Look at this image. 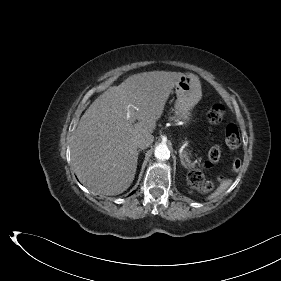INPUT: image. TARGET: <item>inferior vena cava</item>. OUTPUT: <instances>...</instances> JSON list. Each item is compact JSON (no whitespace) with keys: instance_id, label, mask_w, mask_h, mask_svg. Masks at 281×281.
<instances>
[{"instance_id":"inferior-vena-cava-1","label":"inferior vena cava","mask_w":281,"mask_h":281,"mask_svg":"<svg viewBox=\"0 0 281 281\" xmlns=\"http://www.w3.org/2000/svg\"><path fill=\"white\" fill-rule=\"evenodd\" d=\"M154 141V137L151 134H146L144 136H141L137 139V147L140 149H145L149 147Z\"/></svg>"}]
</instances>
